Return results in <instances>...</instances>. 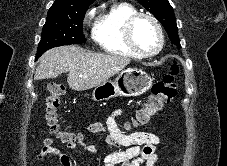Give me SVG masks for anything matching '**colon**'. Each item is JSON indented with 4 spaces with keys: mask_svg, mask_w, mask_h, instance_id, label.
Wrapping results in <instances>:
<instances>
[{
    "mask_svg": "<svg viewBox=\"0 0 227 166\" xmlns=\"http://www.w3.org/2000/svg\"><path fill=\"white\" fill-rule=\"evenodd\" d=\"M178 67L172 66L162 81L155 83L147 100L135 112L132 123L134 125H145L152 117L162 112L165 105L171 103L177 96L175 77ZM46 109L44 119L49 130L64 144L71 146L82 141V135L61 130L59 126V108L65 87L59 82H51L47 87Z\"/></svg>",
    "mask_w": 227,
    "mask_h": 166,
    "instance_id": "5ec220e1",
    "label": "colon"
}]
</instances>
